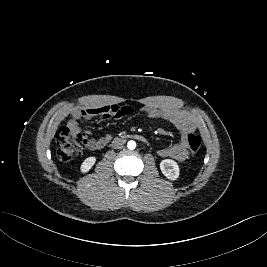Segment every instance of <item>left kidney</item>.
Here are the masks:
<instances>
[{
  "label": "left kidney",
  "instance_id": "1",
  "mask_svg": "<svg viewBox=\"0 0 267 267\" xmlns=\"http://www.w3.org/2000/svg\"><path fill=\"white\" fill-rule=\"evenodd\" d=\"M160 169L163 175L170 180H176L179 177V166L174 160H162L160 163Z\"/></svg>",
  "mask_w": 267,
  "mask_h": 267
}]
</instances>
